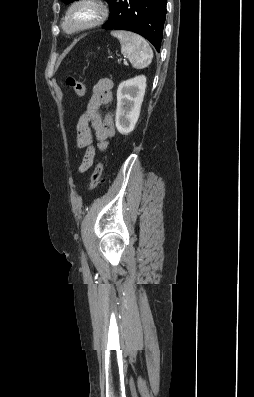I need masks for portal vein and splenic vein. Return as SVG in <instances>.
Returning <instances> with one entry per match:
<instances>
[{
    "instance_id": "1",
    "label": "portal vein and splenic vein",
    "mask_w": 254,
    "mask_h": 397,
    "mask_svg": "<svg viewBox=\"0 0 254 397\" xmlns=\"http://www.w3.org/2000/svg\"><path fill=\"white\" fill-rule=\"evenodd\" d=\"M123 63H124L125 65H127V61H125V60H124V62H123Z\"/></svg>"
}]
</instances>
